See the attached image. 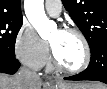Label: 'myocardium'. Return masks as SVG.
Here are the masks:
<instances>
[{"mask_svg": "<svg viewBox=\"0 0 107 89\" xmlns=\"http://www.w3.org/2000/svg\"><path fill=\"white\" fill-rule=\"evenodd\" d=\"M60 31L74 34L80 39L83 49H84V59L81 65L76 68L66 67L58 60L55 54V51L53 49V46L50 45L53 66L57 70L64 72V73H69V74H76V73L84 71L89 66L90 61H91V48H90V45L86 36L79 29L75 27H65V28L60 29Z\"/></svg>", "mask_w": 107, "mask_h": 89, "instance_id": "1", "label": "myocardium"}]
</instances>
